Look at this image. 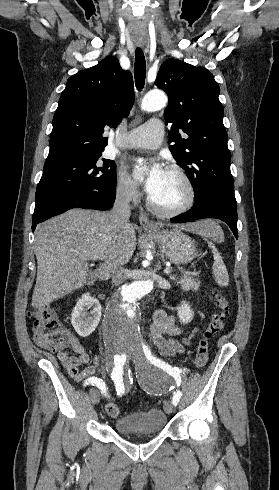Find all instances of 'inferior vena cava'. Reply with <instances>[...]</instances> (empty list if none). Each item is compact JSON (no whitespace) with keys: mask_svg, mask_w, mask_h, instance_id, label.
<instances>
[{"mask_svg":"<svg viewBox=\"0 0 279 490\" xmlns=\"http://www.w3.org/2000/svg\"><path fill=\"white\" fill-rule=\"evenodd\" d=\"M133 194V188H128V186H123L122 190L117 192L113 208L109 212L111 226H117V228L130 226L129 218L131 212L129 204ZM123 266L122 262L116 264L112 276V286H120V284H124L128 280V270H125Z\"/></svg>","mask_w":279,"mask_h":490,"instance_id":"1","label":"inferior vena cava"}]
</instances>
